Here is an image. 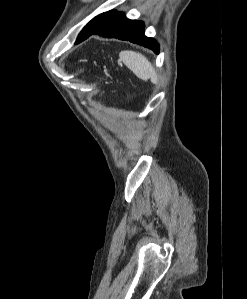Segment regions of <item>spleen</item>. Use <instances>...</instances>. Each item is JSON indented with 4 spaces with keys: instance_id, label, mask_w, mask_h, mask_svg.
Segmentation results:
<instances>
[{
    "instance_id": "spleen-1",
    "label": "spleen",
    "mask_w": 247,
    "mask_h": 299,
    "mask_svg": "<svg viewBox=\"0 0 247 299\" xmlns=\"http://www.w3.org/2000/svg\"><path fill=\"white\" fill-rule=\"evenodd\" d=\"M120 60L141 80L151 79L153 83L158 82V76L148 59L134 51H121Z\"/></svg>"
}]
</instances>
